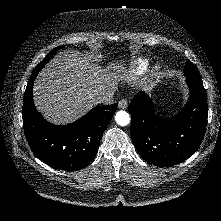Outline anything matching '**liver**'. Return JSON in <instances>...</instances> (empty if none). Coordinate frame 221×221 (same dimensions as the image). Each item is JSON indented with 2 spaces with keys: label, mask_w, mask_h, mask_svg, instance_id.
Instances as JSON below:
<instances>
[{
  "label": "liver",
  "mask_w": 221,
  "mask_h": 221,
  "mask_svg": "<svg viewBox=\"0 0 221 221\" xmlns=\"http://www.w3.org/2000/svg\"><path fill=\"white\" fill-rule=\"evenodd\" d=\"M111 63L106 69L74 51L59 52L39 73L33 87L36 108L50 122L67 124L86 114L105 90H115L128 69Z\"/></svg>",
  "instance_id": "liver-1"
}]
</instances>
